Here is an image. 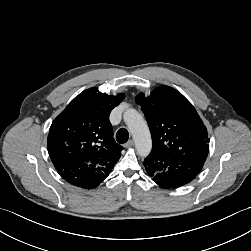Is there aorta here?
Returning <instances> with one entry per match:
<instances>
[{"instance_id":"762f6f07","label":"aorta","mask_w":251,"mask_h":251,"mask_svg":"<svg viewBox=\"0 0 251 251\" xmlns=\"http://www.w3.org/2000/svg\"><path fill=\"white\" fill-rule=\"evenodd\" d=\"M123 119L133 136L138 155L146 157L152 148V140L147 123L135 109L126 110Z\"/></svg>"}]
</instances>
